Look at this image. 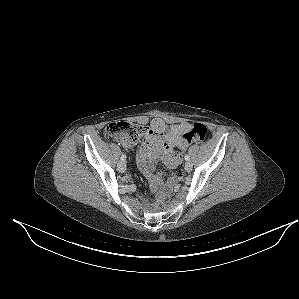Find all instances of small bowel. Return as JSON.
<instances>
[{
    "instance_id": "obj_1",
    "label": "small bowel",
    "mask_w": 299,
    "mask_h": 299,
    "mask_svg": "<svg viewBox=\"0 0 299 299\" xmlns=\"http://www.w3.org/2000/svg\"><path fill=\"white\" fill-rule=\"evenodd\" d=\"M191 126L189 123L168 126L160 118L151 120L148 133L138 148L136 160L153 189L162 186V179L155 173L154 164L161 160L169 169H174L180 164L181 157L175 149L185 150L189 146L185 134ZM119 141L126 148L134 146V142L128 140L120 139Z\"/></svg>"
}]
</instances>
